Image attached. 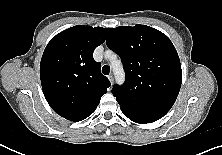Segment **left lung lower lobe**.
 I'll use <instances>...</instances> for the list:
<instances>
[{"instance_id": "1", "label": "left lung lower lobe", "mask_w": 222, "mask_h": 155, "mask_svg": "<svg viewBox=\"0 0 222 155\" xmlns=\"http://www.w3.org/2000/svg\"><path fill=\"white\" fill-rule=\"evenodd\" d=\"M120 109L126 117H128L130 120L136 123H140V124L151 123L160 119V118H156L149 115H142V114L134 113V112L125 110L123 108H120Z\"/></svg>"}]
</instances>
